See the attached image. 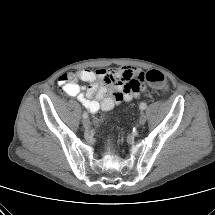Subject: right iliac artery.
I'll return each mask as SVG.
<instances>
[{
	"label": "right iliac artery",
	"instance_id": "obj_1",
	"mask_svg": "<svg viewBox=\"0 0 215 215\" xmlns=\"http://www.w3.org/2000/svg\"><path fill=\"white\" fill-rule=\"evenodd\" d=\"M83 118H84V119L88 118L87 112H84V113H83Z\"/></svg>",
	"mask_w": 215,
	"mask_h": 215
}]
</instances>
